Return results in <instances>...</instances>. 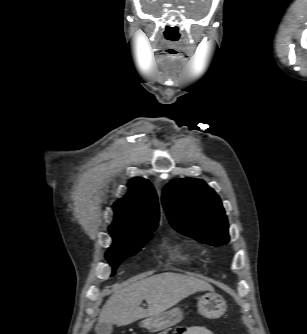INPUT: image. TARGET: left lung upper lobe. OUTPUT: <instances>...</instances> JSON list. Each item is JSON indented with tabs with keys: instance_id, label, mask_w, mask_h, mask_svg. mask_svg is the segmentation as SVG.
<instances>
[{
	"instance_id": "5c2ea615",
	"label": "left lung upper lobe",
	"mask_w": 307,
	"mask_h": 334,
	"mask_svg": "<svg viewBox=\"0 0 307 334\" xmlns=\"http://www.w3.org/2000/svg\"><path fill=\"white\" fill-rule=\"evenodd\" d=\"M162 204L178 232L211 246L228 242V221L221 200L204 181H171L163 189Z\"/></svg>"
}]
</instances>
